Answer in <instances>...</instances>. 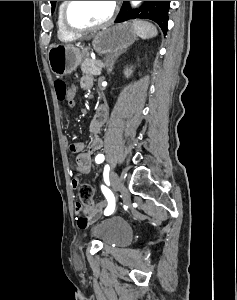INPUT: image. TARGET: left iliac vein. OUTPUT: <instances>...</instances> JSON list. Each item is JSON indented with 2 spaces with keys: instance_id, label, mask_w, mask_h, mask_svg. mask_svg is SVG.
Returning <instances> with one entry per match:
<instances>
[{
  "instance_id": "obj_1",
  "label": "left iliac vein",
  "mask_w": 237,
  "mask_h": 300,
  "mask_svg": "<svg viewBox=\"0 0 237 300\" xmlns=\"http://www.w3.org/2000/svg\"><path fill=\"white\" fill-rule=\"evenodd\" d=\"M110 178H111V186H112V190H113L114 194L117 195V193L119 191H123L124 190L123 183L118 178L116 172L111 171Z\"/></svg>"
}]
</instances>
